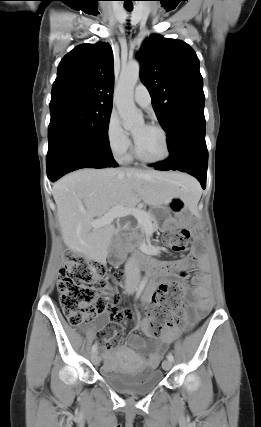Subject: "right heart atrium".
<instances>
[{"instance_id": "d8ad5b80", "label": "right heart atrium", "mask_w": 261, "mask_h": 427, "mask_svg": "<svg viewBox=\"0 0 261 427\" xmlns=\"http://www.w3.org/2000/svg\"><path fill=\"white\" fill-rule=\"evenodd\" d=\"M105 135L110 152L121 161L128 159L132 146L131 140L115 113L108 118Z\"/></svg>"}]
</instances>
